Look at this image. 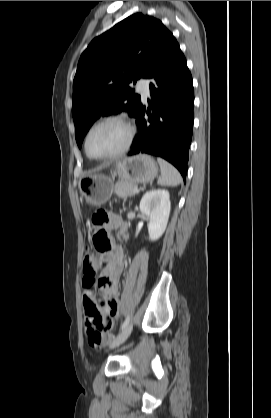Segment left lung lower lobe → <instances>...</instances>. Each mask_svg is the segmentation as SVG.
Here are the masks:
<instances>
[{
	"label": "left lung lower lobe",
	"instance_id": "1",
	"mask_svg": "<svg viewBox=\"0 0 271 418\" xmlns=\"http://www.w3.org/2000/svg\"><path fill=\"white\" fill-rule=\"evenodd\" d=\"M148 120L145 107L135 114L138 134L128 155L147 153L172 163L186 180L194 121L192 76L179 44L173 37L151 75Z\"/></svg>",
	"mask_w": 271,
	"mask_h": 418
}]
</instances>
